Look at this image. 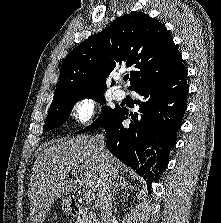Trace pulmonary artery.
Returning a JSON list of instances; mask_svg holds the SVG:
<instances>
[{
    "label": "pulmonary artery",
    "instance_id": "1",
    "mask_svg": "<svg viewBox=\"0 0 221 223\" xmlns=\"http://www.w3.org/2000/svg\"><path fill=\"white\" fill-rule=\"evenodd\" d=\"M117 80L121 81L122 79L120 77H117ZM125 96H126V92L121 88L116 89L115 92H114V97L117 100H122V99L125 98Z\"/></svg>",
    "mask_w": 221,
    "mask_h": 223
}]
</instances>
